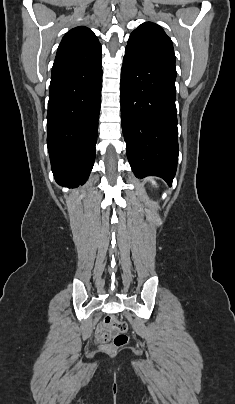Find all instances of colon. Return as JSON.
<instances>
[{"label": "colon", "instance_id": "colon-1", "mask_svg": "<svg viewBox=\"0 0 235 404\" xmlns=\"http://www.w3.org/2000/svg\"><path fill=\"white\" fill-rule=\"evenodd\" d=\"M128 325L119 320L115 315H106L104 318V327L96 331V340L104 343L106 351H114L127 345L129 337L127 335ZM117 334L113 337L112 343L107 342L111 339L113 332Z\"/></svg>", "mask_w": 235, "mask_h": 404}]
</instances>
